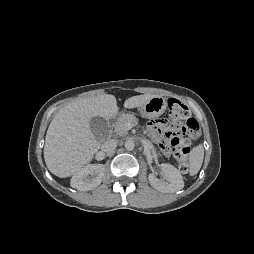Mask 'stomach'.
Returning <instances> with one entry per match:
<instances>
[{"label":"stomach","mask_w":254,"mask_h":254,"mask_svg":"<svg viewBox=\"0 0 254 254\" xmlns=\"http://www.w3.org/2000/svg\"><path fill=\"white\" fill-rule=\"evenodd\" d=\"M166 108V99L161 96H154L139 107V111L146 118H156L161 116L165 112Z\"/></svg>","instance_id":"1"}]
</instances>
